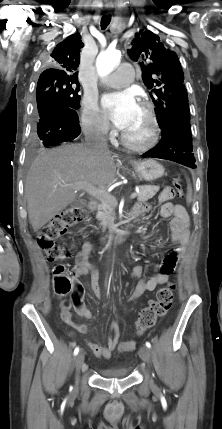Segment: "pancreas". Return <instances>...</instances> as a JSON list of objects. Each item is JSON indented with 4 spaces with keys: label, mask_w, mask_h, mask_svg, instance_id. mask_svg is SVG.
Instances as JSON below:
<instances>
[{
    "label": "pancreas",
    "mask_w": 222,
    "mask_h": 429,
    "mask_svg": "<svg viewBox=\"0 0 222 429\" xmlns=\"http://www.w3.org/2000/svg\"><path fill=\"white\" fill-rule=\"evenodd\" d=\"M159 186H153V185H145L139 187V192L137 194V200L141 202H145L153 196L156 195V193L159 191ZM101 205L98 209L96 218L101 222V225L103 226V229H105L109 222L114 219L115 217V207L117 205L116 201H111L109 199H101Z\"/></svg>",
    "instance_id": "1"
}]
</instances>
